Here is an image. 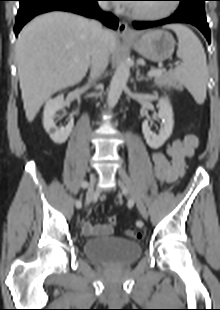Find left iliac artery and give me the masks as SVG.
Masks as SVG:
<instances>
[{
    "label": "left iliac artery",
    "mask_w": 220,
    "mask_h": 310,
    "mask_svg": "<svg viewBox=\"0 0 220 310\" xmlns=\"http://www.w3.org/2000/svg\"><path fill=\"white\" fill-rule=\"evenodd\" d=\"M128 208H132L134 206V201L132 199H130L127 203ZM136 226L137 227H142L143 226V222L141 220H137L136 221Z\"/></svg>",
    "instance_id": "obj_1"
}]
</instances>
